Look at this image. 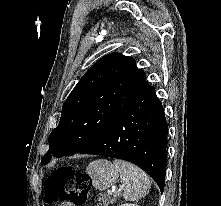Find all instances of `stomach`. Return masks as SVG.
Returning <instances> with one entry per match:
<instances>
[{
	"label": "stomach",
	"instance_id": "0dacf381",
	"mask_svg": "<svg viewBox=\"0 0 221 206\" xmlns=\"http://www.w3.org/2000/svg\"><path fill=\"white\" fill-rule=\"evenodd\" d=\"M93 186L105 190L116 183L119 177L118 169L108 160L100 159L91 162L86 168Z\"/></svg>",
	"mask_w": 221,
	"mask_h": 206
}]
</instances>
